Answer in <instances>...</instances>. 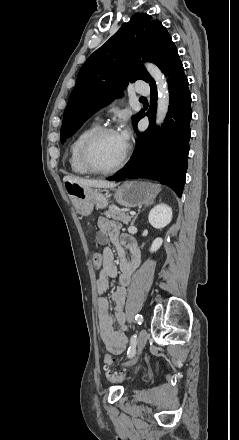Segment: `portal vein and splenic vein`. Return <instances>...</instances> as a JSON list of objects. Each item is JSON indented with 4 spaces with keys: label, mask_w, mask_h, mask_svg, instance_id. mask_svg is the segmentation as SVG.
Segmentation results:
<instances>
[{
    "label": "portal vein and splenic vein",
    "mask_w": 239,
    "mask_h": 440,
    "mask_svg": "<svg viewBox=\"0 0 239 440\" xmlns=\"http://www.w3.org/2000/svg\"><path fill=\"white\" fill-rule=\"evenodd\" d=\"M129 214H131V216H134L135 211H134V210H131V211L129 212Z\"/></svg>",
    "instance_id": "portal-vein-and-splenic-vein-1"
}]
</instances>
